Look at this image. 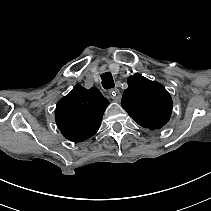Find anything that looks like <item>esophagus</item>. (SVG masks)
Listing matches in <instances>:
<instances>
[{"instance_id":"esophagus-1","label":"esophagus","mask_w":211,"mask_h":211,"mask_svg":"<svg viewBox=\"0 0 211 211\" xmlns=\"http://www.w3.org/2000/svg\"><path fill=\"white\" fill-rule=\"evenodd\" d=\"M109 94H110V97L117 102H119L122 98V95L118 89H114L113 91H110Z\"/></svg>"}]
</instances>
